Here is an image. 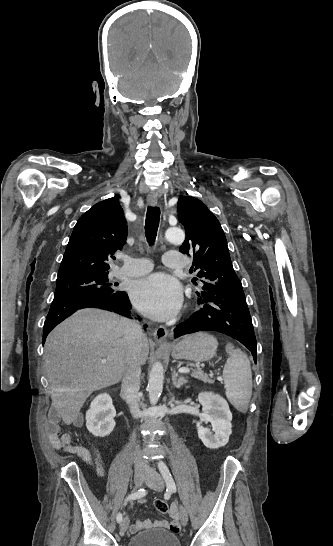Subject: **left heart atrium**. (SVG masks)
<instances>
[{
    "mask_svg": "<svg viewBox=\"0 0 333 546\" xmlns=\"http://www.w3.org/2000/svg\"><path fill=\"white\" fill-rule=\"evenodd\" d=\"M130 295L134 305L155 320H168L182 305V290L172 277L154 273L132 283Z\"/></svg>",
    "mask_w": 333,
    "mask_h": 546,
    "instance_id": "39dd6f15",
    "label": "left heart atrium"
}]
</instances>
